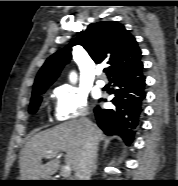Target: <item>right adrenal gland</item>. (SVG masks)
<instances>
[{
  "label": "right adrenal gland",
  "mask_w": 178,
  "mask_h": 186,
  "mask_svg": "<svg viewBox=\"0 0 178 186\" xmlns=\"http://www.w3.org/2000/svg\"><path fill=\"white\" fill-rule=\"evenodd\" d=\"M97 168H98L97 159H95L92 173H96Z\"/></svg>",
  "instance_id": "right-adrenal-gland-1"
}]
</instances>
